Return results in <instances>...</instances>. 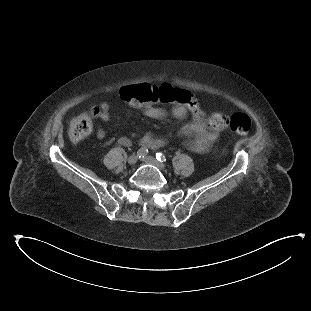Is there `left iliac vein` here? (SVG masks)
Here are the masks:
<instances>
[{
    "label": "left iliac vein",
    "instance_id": "1",
    "mask_svg": "<svg viewBox=\"0 0 311 311\" xmlns=\"http://www.w3.org/2000/svg\"><path fill=\"white\" fill-rule=\"evenodd\" d=\"M144 162L151 164L155 167H157L160 170H164L165 169V165L160 163L156 158L152 157V156H147L143 159Z\"/></svg>",
    "mask_w": 311,
    "mask_h": 311
}]
</instances>
